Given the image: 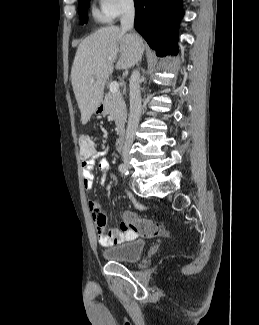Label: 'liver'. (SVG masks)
<instances>
[{
    "instance_id": "1",
    "label": "liver",
    "mask_w": 259,
    "mask_h": 325,
    "mask_svg": "<svg viewBox=\"0 0 259 325\" xmlns=\"http://www.w3.org/2000/svg\"><path fill=\"white\" fill-rule=\"evenodd\" d=\"M143 52L142 38L127 34L117 26L103 27L80 43L71 69V82L83 125L102 101L105 83L114 70L118 54L115 68L124 69L123 77H126Z\"/></svg>"
}]
</instances>
